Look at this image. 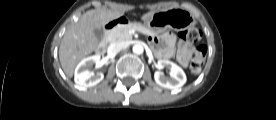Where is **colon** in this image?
<instances>
[{
	"mask_svg": "<svg viewBox=\"0 0 276 120\" xmlns=\"http://www.w3.org/2000/svg\"><path fill=\"white\" fill-rule=\"evenodd\" d=\"M181 41L197 44L194 48V55L191 61L190 70L193 74H198L205 63L207 49L204 44H198L202 39V34L197 28H190L178 34Z\"/></svg>",
	"mask_w": 276,
	"mask_h": 120,
	"instance_id": "colon-1",
	"label": "colon"
}]
</instances>
